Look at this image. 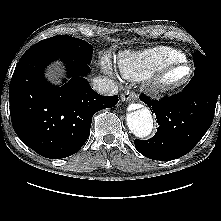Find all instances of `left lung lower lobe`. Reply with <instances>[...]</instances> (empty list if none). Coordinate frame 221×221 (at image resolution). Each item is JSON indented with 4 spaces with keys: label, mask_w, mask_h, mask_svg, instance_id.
Here are the masks:
<instances>
[{
    "label": "left lung lower lobe",
    "mask_w": 221,
    "mask_h": 221,
    "mask_svg": "<svg viewBox=\"0 0 221 221\" xmlns=\"http://www.w3.org/2000/svg\"><path fill=\"white\" fill-rule=\"evenodd\" d=\"M144 101L155 113L156 134L142 141L135 139L136 149L153 160H173L190 152L210 128L216 103H221V71L208 70L194 74L182 92Z\"/></svg>",
    "instance_id": "0a47b994"
}]
</instances>
